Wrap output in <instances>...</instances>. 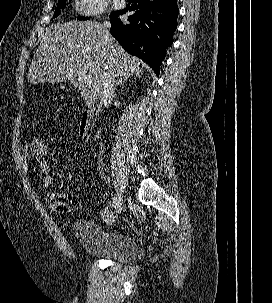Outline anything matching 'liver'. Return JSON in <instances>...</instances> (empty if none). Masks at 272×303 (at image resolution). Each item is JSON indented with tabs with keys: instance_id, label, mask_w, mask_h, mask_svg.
Wrapping results in <instances>:
<instances>
[{
	"instance_id": "obj_1",
	"label": "liver",
	"mask_w": 272,
	"mask_h": 303,
	"mask_svg": "<svg viewBox=\"0 0 272 303\" xmlns=\"http://www.w3.org/2000/svg\"><path fill=\"white\" fill-rule=\"evenodd\" d=\"M145 64L127 53L96 21H70L46 29L27 74L30 84L74 80L86 74L81 95L89 105L101 98L103 77L141 73Z\"/></svg>"
}]
</instances>
